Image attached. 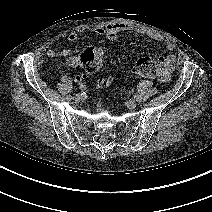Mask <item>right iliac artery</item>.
I'll use <instances>...</instances> for the list:
<instances>
[{
    "label": "right iliac artery",
    "mask_w": 212,
    "mask_h": 212,
    "mask_svg": "<svg viewBox=\"0 0 212 212\" xmlns=\"http://www.w3.org/2000/svg\"><path fill=\"white\" fill-rule=\"evenodd\" d=\"M73 96L72 95H68L67 97H66V99L68 100V101H71V100H73Z\"/></svg>",
    "instance_id": "82829eb1"
}]
</instances>
